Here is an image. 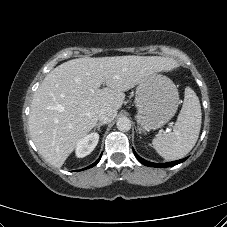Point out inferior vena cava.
I'll list each match as a JSON object with an SVG mask.
<instances>
[{
	"instance_id": "1",
	"label": "inferior vena cava",
	"mask_w": 227,
	"mask_h": 227,
	"mask_svg": "<svg viewBox=\"0 0 227 227\" xmlns=\"http://www.w3.org/2000/svg\"><path fill=\"white\" fill-rule=\"evenodd\" d=\"M116 115H117V112L115 110L111 108H103L99 112L98 120L101 123L107 124L112 122V120L116 117Z\"/></svg>"
}]
</instances>
